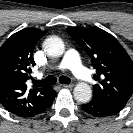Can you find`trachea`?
<instances>
[{
  "label": "trachea",
  "mask_w": 133,
  "mask_h": 133,
  "mask_svg": "<svg viewBox=\"0 0 133 133\" xmlns=\"http://www.w3.org/2000/svg\"><path fill=\"white\" fill-rule=\"evenodd\" d=\"M57 79L55 76H47L45 79L40 81H34L35 86H48V85H54L56 83ZM59 82L62 84H70V79L66 76L59 77Z\"/></svg>",
  "instance_id": "obj_1"
}]
</instances>
